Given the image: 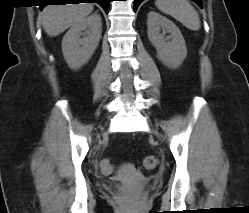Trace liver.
<instances>
[{"mask_svg":"<svg viewBox=\"0 0 249 213\" xmlns=\"http://www.w3.org/2000/svg\"><path fill=\"white\" fill-rule=\"evenodd\" d=\"M92 11V3L48 5L39 14V19L45 32L54 37L86 18Z\"/></svg>","mask_w":249,"mask_h":213,"instance_id":"liver-1","label":"liver"}]
</instances>
